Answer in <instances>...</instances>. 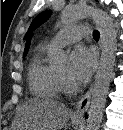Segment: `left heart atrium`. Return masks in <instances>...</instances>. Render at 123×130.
<instances>
[{"label": "left heart atrium", "instance_id": "1", "mask_svg": "<svg viewBox=\"0 0 123 130\" xmlns=\"http://www.w3.org/2000/svg\"><path fill=\"white\" fill-rule=\"evenodd\" d=\"M96 66V54L86 47H77L71 55L69 77L72 82L81 84L91 76Z\"/></svg>", "mask_w": 123, "mask_h": 130}]
</instances>
